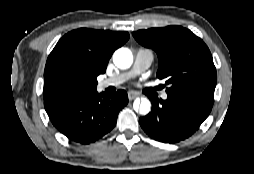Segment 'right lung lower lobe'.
Segmentation results:
<instances>
[{"label": "right lung lower lobe", "mask_w": 254, "mask_h": 174, "mask_svg": "<svg viewBox=\"0 0 254 174\" xmlns=\"http://www.w3.org/2000/svg\"><path fill=\"white\" fill-rule=\"evenodd\" d=\"M127 103L124 90L106 96L94 89L45 100L44 106L52 124L62 134L72 141L89 144L114 128L119 111Z\"/></svg>", "instance_id": "obj_1"}]
</instances>
